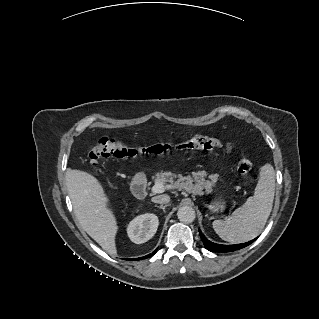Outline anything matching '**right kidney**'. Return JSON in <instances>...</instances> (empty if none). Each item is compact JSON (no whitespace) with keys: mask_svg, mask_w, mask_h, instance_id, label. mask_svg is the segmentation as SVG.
I'll return each instance as SVG.
<instances>
[{"mask_svg":"<svg viewBox=\"0 0 319 319\" xmlns=\"http://www.w3.org/2000/svg\"><path fill=\"white\" fill-rule=\"evenodd\" d=\"M159 225L158 217L146 213L135 217L127 227V233L132 242L141 244L151 239Z\"/></svg>","mask_w":319,"mask_h":319,"instance_id":"right-kidney-1","label":"right kidney"}]
</instances>
